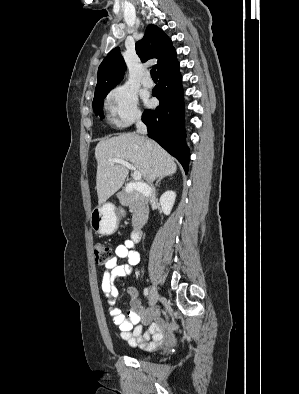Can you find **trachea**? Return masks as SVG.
<instances>
[{
    "instance_id": "trachea-1",
    "label": "trachea",
    "mask_w": 299,
    "mask_h": 394,
    "mask_svg": "<svg viewBox=\"0 0 299 394\" xmlns=\"http://www.w3.org/2000/svg\"><path fill=\"white\" fill-rule=\"evenodd\" d=\"M150 73H151V77L153 79H157V74H156V70L155 69H151Z\"/></svg>"
}]
</instances>
